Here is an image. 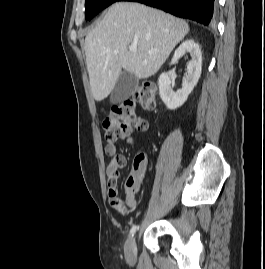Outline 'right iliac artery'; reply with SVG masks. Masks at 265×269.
<instances>
[{"mask_svg":"<svg viewBox=\"0 0 265 269\" xmlns=\"http://www.w3.org/2000/svg\"><path fill=\"white\" fill-rule=\"evenodd\" d=\"M139 229L138 225H134L130 230V236H134L135 232Z\"/></svg>","mask_w":265,"mask_h":269,"instance_id":"obj_1","label":"right iliac artery"}]
</instances>
